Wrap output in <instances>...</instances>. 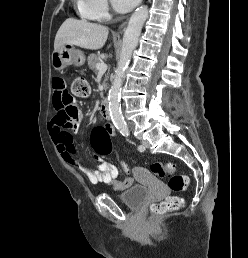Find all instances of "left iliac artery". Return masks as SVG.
<instances>
[{
  "instance_id": "obj_1",
  "label": "left iliac artery",
  "mask_w": 248,
  "mask_h": 258,
  "mask_svg": "<svg viewBox=\"0 0 248 258\" xmlns=\"http://www.w3.org/2000/svg\"><path fill=\"white\" fill-rule=\"evenodd\" d=\"M129 134H127V136H128ZM138 150L140 151V152H142V151H144L145 150V148L142 146V145H139L138 146Z\"/></svg>"
}]
</instances>
